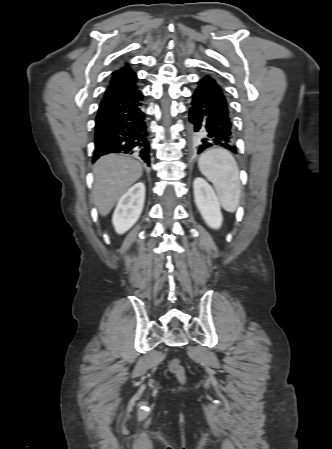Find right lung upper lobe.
<instances>
[{"mask_svg":"<svg viewBox=\"0 0 332 449\" xmlns=\"http://www.w3.org/2000/svg\"><path fill=\"white\" fill-rule=\"evenodd\" d=\"M137 76L129 65L114 72L104 96L123 95L137 90Z\"/></svg>","mask_w":332,"mask_h":449,"instance_id":"right-lung-upper-lobe-1","label":"right lung upper lobe"}]
</instances>
